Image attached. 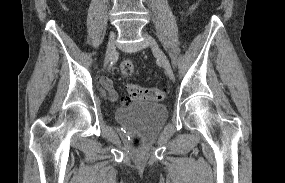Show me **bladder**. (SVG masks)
Returning a JSON list of instances; mask_svg holds the SVG:
<instances>
[{
	"label": "bladder",
	"mask_w": 285,
	"mask_h": 183,
	"mask_svg": "<svg viewBox=\"0 0 285 183\" xmlns=\"http://www.w3.org/2000/svg\"><path fill=\"white\" fill-rule=\"evenodd\" d=\"M115 119L120 124L151 133L159 130L165 123L167 109L159 103L138 102L117 108Z\"/></svg>",
	"instance_id": "bladder-1"
}]
</instances>
